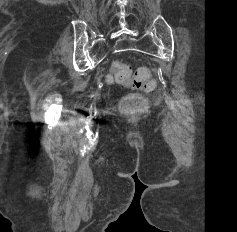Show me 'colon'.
Returning a JSON list of instances; mask_svg holds the SVG:
<instances>
[{"mask_svg":"<svg viewBox=\"0 0 237 232\" xmlns=\"http://www.w3.org/2000/svg\"><path fill=\"white\" fill-rule=\"evenodd\" d=\"M110 80L146 92L155 88V81L148 69L139 68L131 76V67L120 62H115L112 65ZM123 106L126 111L135 112L143 110L145 103L141 98L132 96L124 101Z\"/></svg>","mask_w":237,"mask_h":232,"instance_id":"1","label":"colon"}]
</instances>
